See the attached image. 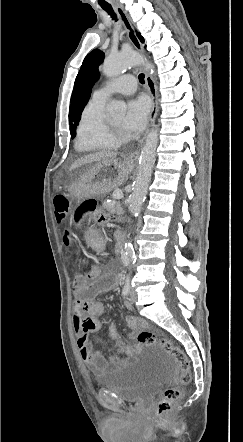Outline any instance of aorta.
Wrapping results in <instances>:
<instances>
[{"mask_svg":"<svg viewBox=\"0 0 243 442\" xmlns=\"http://www.w3.org/2000/svg\"><path fill=\"white\" fill-rule=\"evenodd\" d=\"M144 65L146 69L153 71L152 64L146 62L141 56L133 51L123 52L118 55L108 56L103 63V73L107 77H116L125 70ZM126 105L122 101L113 100L108 105L110 113L122 112ZM158 145V130L153 129L147 136L145 144L141 150L139 167L133 190L130 195L129 211L133 216H138L141 212L143 202L150 182L153 166L156 158ZM121 259L125 263H132L135 260V252L130 242H126L121 250Z\"/></svg>","mask_w":243,"mask_h":442,"instance_id":"762f6f07","label":"aorta"}]
</instances>
